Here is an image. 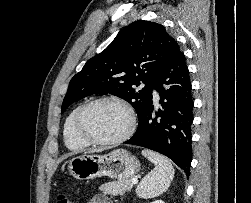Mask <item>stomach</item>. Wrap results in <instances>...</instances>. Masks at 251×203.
<instances>
[{
  "label": "stomach",
  "mask_w": 251,
  "mask_h": 203,
  "mask_svg": "<svg viewBox=\"0 0 251 203\" xmlns=\"http://www.w3.org/2000/svg\"><path fill=\"white\" fill-rule=\"evenodd\" d=\"M140 161L124 149H117L105 155H81L69 161L70 174L79 180L108 176L127 179L139 172Z\"/></svg>",
  "instance_id": "stomach-1"
}]
</instances>
